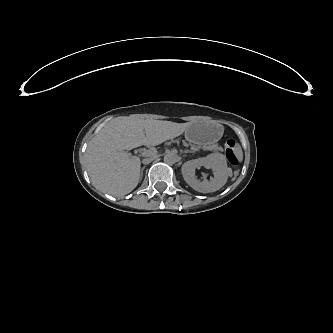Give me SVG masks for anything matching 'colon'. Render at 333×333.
Wrapping results in <instances>:
<instances>
[{
  "instance_id": "5ec220e1",
  "label": "colon",
  "mask_w": 333,
  "mask_h": 333,
  "mask_svg": "<svg viewBox=\"0 0 333 333\" xmlns=\"http://www.w3.org/2000/svg\"><path fill=\"white\" fill-rule=\"evenodd\" d=\"M235 147H236V142L233 139H228L225 142L226 157L228 161L233 165H237L239 163V155Z\"/></svg>"
}]
</instances>
